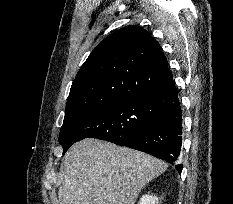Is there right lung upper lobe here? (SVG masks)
Segmentation results:
<instances>
[{
	"instance_id": "1",
	"label": "right lung upper lobe",
	"mask_w": 233,
	"mask_h": 204,
	"mask_svg": "<svg viewBox=\"0 0 233 204\" xmlns=\"http://www.w3.org/2000/svg\"><path fill=\"white\" fill-rule=\"evenodd\" d=\"M173 82L158 42L139 26L121 28L97 45L77 73L61 129L94 109L153 96Z\"/></svg>"
}]
</instances>
